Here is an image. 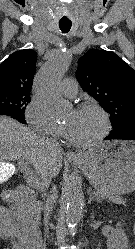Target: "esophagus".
Returning <instances> with one entry per match:
<instances>
[{"mask_svg": "<svg viewBox=\"0 0 135 249\" xmlns=\"http://www.w3.org/2000/svg\"><path fill=\"white\" fill-rule=\"evenodd\" d=\"M66 157L69 158V159L77 158V154L74 153L73 151H68L66 153Z\"/></svg>", "mask_w": 135, "mask_h": 249, "instance_id": "34e87169", "label": "esophagus"}]
</instances>
